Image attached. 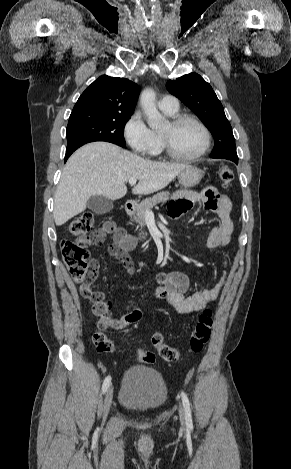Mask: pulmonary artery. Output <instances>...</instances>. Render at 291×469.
<instances>
[{
    "mask_svg": "<svg viewBox=\"0 0 291 469\" xmlns=\"http://www.w3.org/2000/svg\"><path fill=\"white\" fill-rule=\"evenodd\" d=\"M158 106L161 110L175 112L179 108V102L176 97L172 95H165L159 100Z\"/></svg>",
    "mask_w": 291,
    "mask_h": 469,
    "instance_id": "obj_1",
    "label": "pulmonary artery"
}]
</instances>
